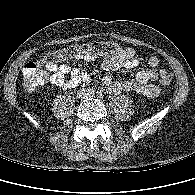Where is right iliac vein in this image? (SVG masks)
I'll list each match as a JSON object with an SVG mask.
<instances>
[{"label": "right iliac vein", "instance_id": "obj_1", "mask_svg": "<svg viewBox=\"0 0 195 195\" xmlns=\"http://www.w3.org/2000/svg\"><path fill=\"white\" fill-rule=\"evenodd\" d=\"M86 94L82 93V94H79V98H84Z\"/></svg>", "mask_w": 195, "mask_h": 195}]
</instances>
